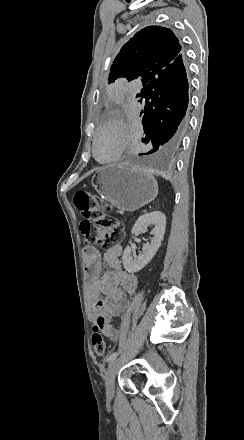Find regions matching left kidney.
Instances as JSON below:
<instances>
[{"label": "left kidney", "instance_id": "5707ae66", "mask_svg": "<svg viewBox=\"0 0 244 440\" xmlns=\"http://www.w3.org/2000/svg\"><path fill=\"white\" fill-rule=\"evenodd\" d=\"M149 224H154L155 226L151 232L154 238H152L150 244H144L143 254H139V256H134L133 258V248H130V246H127L123 252V266L129 274H135V272L142 270L146 264H149L161 246L166 226V218L162 212H151V214H143V216H140L137 222H135L131 234L135 236V234L147 232V226H149ZM129 244H132L131 240Z\"/></svg>", "mask_w": 244, "mask_h": 440}]
</instances>
